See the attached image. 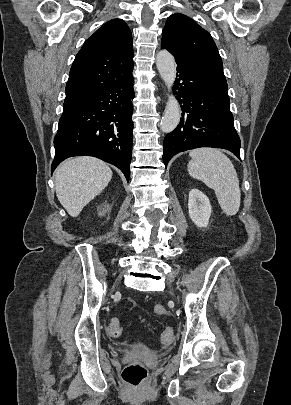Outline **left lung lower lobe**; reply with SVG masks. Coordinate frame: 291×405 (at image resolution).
I'll list each match as a JSON object with an SVG mask.
<instances>
[{
  "label": "left lung lower lobe",
  "instance_id": "left-lung-lower-lobe-1",
  "mask_svg": "<svg viewBox=\"0 0 291 405\" xmlns=\"http://www.w3.org/2000/svg\"><path fill=\"white\" fill-rule=\"evenodd\" d=\"M177 98L183 113L163 142V161L199 147L223 148L240 159V138L233 125L223 68L175 59Z\"/></svg>",
  "mask_w": 291,
  "mask_h": 405
}]
</instances>
